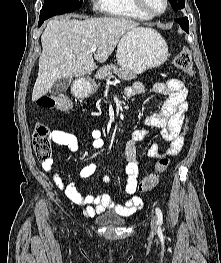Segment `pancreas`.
Wrapping results in <instances>:
<instances>
[{
    "label": "pancreas",
    "mask_w": 221,
    "mask_h": 263,
    "mask_svg": "<svg viewBox=\"0 0 221 263\" xmlns=\"http://www.w3.org/2000/svg\"><path fill=\"white\" fill-rule=\"evenodd\" d=\"M114 76H117L119 79L123 80H131L137 78V75L133 72L122 67H117L113 64L101 67L96 73V78L102 80Z\"/></svg>",
    "instance_id": "obj_1"
}]
</instances>
